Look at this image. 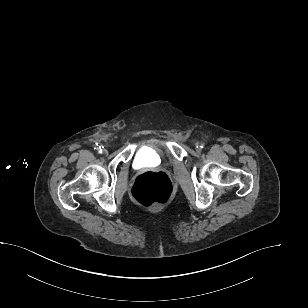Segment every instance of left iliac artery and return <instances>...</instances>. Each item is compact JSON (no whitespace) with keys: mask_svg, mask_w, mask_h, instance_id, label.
<instances>
[{"mask_svg":"<svg viewBox=\"0 0 308 308\" xmlns=\"http://www.w3.org/2000/svg\"><path fill=\"white\" fill-rule=\"evenodd\" d=\"M200 148H204V144L203 143L200 145Z\"/></svg>","mask_w":308,"mask_h":308,"instance_id":"left-iliac-artery-1","label":"left iliac artery"}]
</instances>
